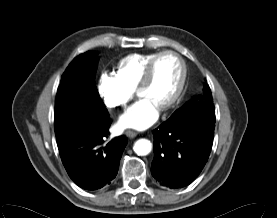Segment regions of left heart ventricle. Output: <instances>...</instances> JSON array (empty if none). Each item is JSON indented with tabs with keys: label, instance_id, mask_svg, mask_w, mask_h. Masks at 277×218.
<instances>
[{
	"label": "left heart ventricle",
	"instance_id": "left-heart-ventricle-1",
	"mask_svg": "<svg viewBox=\"0 0 277 218\" xmlns=\"http://www.w3.org/2000/svg\"><path fill=\"white\" fill-rule=\"evenodd\" d=\"M180 76L181 66L178 60L171 55L164 56L157 62L151 82L139 94L161 108L173 96Z\"/></svg>",
	"mask_w": 277,
	"mask_h": 218
}]
</instances>
